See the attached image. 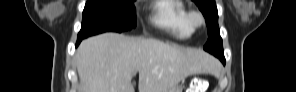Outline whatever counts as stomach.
<instances>
[{
    "mask_svg": "<svg viewBox=\"0 0 296 92\" xmlns=\"http://www.w3.org/2000/svg\"><path fill=\"white\" fill-rule=\"evenodd\" d=\"M183 87L181 85H175L174 87L168 89L166 92H182Z\"/></svg>",
    "mask_w": 296,
    "mask_h": 92,
    "instance_id": "0dacf381",
    "label": "stomach"
}]
</instances>
